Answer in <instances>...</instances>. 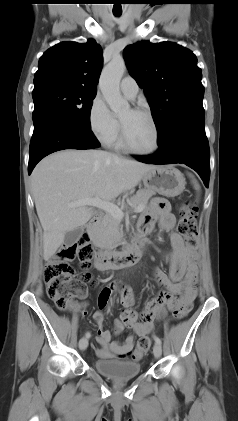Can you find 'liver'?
<instances>
[{
	"mask_svg": "<svg viewBox=\"0 0 238 421\" xmlns=\"http://www.w3.org/2000/svg\"><path fill=\"white\" fill-rule=\"evenodd\" d=\"M154 166L102 150H64L44 158L31 175L32 192L43 228V257L49 260L65 234L92 217L86 206L70 202L99 198L110 201L134 189Z\"/></svg>",
	"mask_w": 238,
	"mask_h": 421,
	"instance_id": "liver-1",
	"label": "liver"
}]
</instances>
